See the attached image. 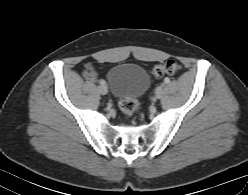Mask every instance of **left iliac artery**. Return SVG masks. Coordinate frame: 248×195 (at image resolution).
Masks as SVG:
<instances>
[{
  "instance_id": "44dca946",
  "label": "left iliac artery",
  "mask_w": 248,
  "mask_h": 195,
  "mask_svg": "<svg viewBox=\"0 0 248 195\" xmlns=\"http://www.w3.org/2000/svg\"><path fill=\"white\" fill-rule=\"evenodd\" d=\"M165 83H169L170 82V79L169 78H165L164 80ZM159 88V87H158ZM157 90V89H156Z\"/></svg>"
}]
</instances>
